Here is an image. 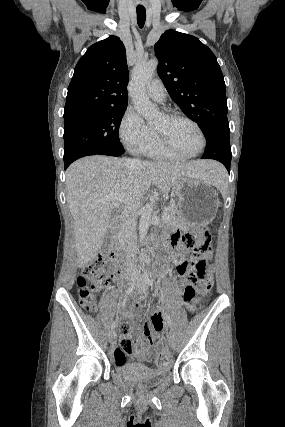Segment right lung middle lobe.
Here are the masks:
<instances>
[{"label": "right lung middle lobe", "mask_w": 285, "mask_h": 427, "mask_svg": "<svg viewBox=\"0 0 285 427\" xmlns=\"http://www.w3.org/2000/svg\"><path fill=\"white\" fill-rule=\"evenodd\" d=\"M125 110L109 108L64 119V164L88 155L123 154L119 126Z\"/></svg>", "instance_id": "right-lung-middle-lobe-1"}]
</instances>
